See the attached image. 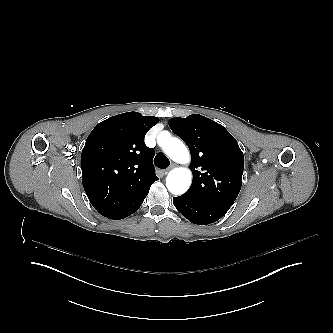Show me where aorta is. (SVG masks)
Wrapping results in <instances>:
<instances>
[{
	"label": "aorta",
	"mask_w": 333,
	"mask_h": 333,
	"mask_svg": "<svg viewBox=\"0 0 333 333\" xmlns=\"http://www.w3.org/2000/svg\"><path fill=\"white\" fill-rule=\"evenodd\" d=\"M163 151L173 161L187 163L189 151L178 138H171L164 146ZM191 184V173L186 168H178L175 173L170 172L166 178V186L174 195L184 194Z\"/></svg>",
	"instance_id": "aorta-1"
}]
</instances>
